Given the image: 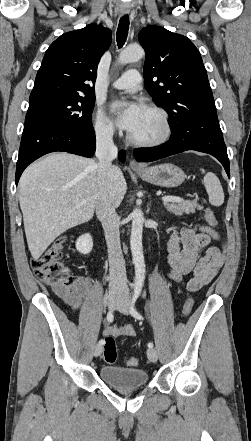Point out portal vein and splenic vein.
Returning a JSON list of instances; mask_svg holds the SVG:
<instances>
[{"label": "portal vein and splenic vein", "mask_w": 251, "mask_h": 441, "mask_svg": "<svg viewBox=\"0 0 251 441\" xmlns=\"http://www.w3.org/2000/svg\"><path fill=\"white\" fill-rule=\"evenodd\" d=\"M162 201L164 202V204H166L169 202H182L183 199L176 196H164L162 197Z\"/></svg>", "instance_id": "portal-vein-and-splenic-vein-1"}]
</instances>
